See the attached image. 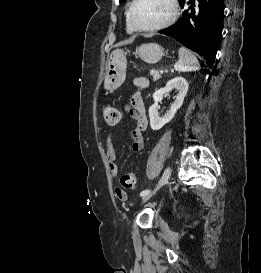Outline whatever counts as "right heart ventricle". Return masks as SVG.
Instances as JSON below:
<instances>
[{"label": "right heart ventricle", "instance_id": "right-heart-ventricle-1", "mask_svg": "<svg viewBox=\"0 0 261 273\" xmlns=\"http://www.w3.org/2000/svg\"><path fill=\"white\" fill-rule=\"evenodd\" d=\"M127 31L129 33H132L134 30L129 26L128 22H127Z\"/></svg>", "mask_w": 261, "mask_h": 273}]
</instances>
